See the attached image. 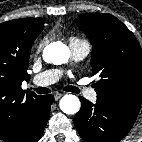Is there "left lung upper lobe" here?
Listing matches in <instances>:
<instances>
[{
  "mask_svg": "<svg viewBox=\"0 0 142 142\" xmlns=\"http://www.w3.org/2000/svg\"><path fill=\"white\" fill-rule=\"evenodd\" d=\"M76 22L92 44V76H100L97 100L135 120L142 100V56L134 34L111 14H82Z\"/></svg>",
  "mask_w": 142,
  "mask_h": 142,
  "instance_id": "5c2ea615",
  "label": "left lung upper lobe"
}]
</instances>
